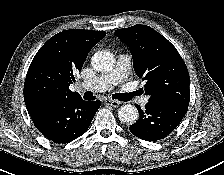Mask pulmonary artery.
<instances>
[{
    "mask_svg": "<svg viewBox=\"0 0 224 175\" xmlns=\"http://www.w3.org/2000/svg\"><path fill=\"white\" fill-rule=\"evenodd\" d=\"M131 68V57L127 54H120L117 58L114 69L104 75L97 76L90 80L83 81L80 87L93 92H103L121 83L129 74ZM147 98H143L141 103L146 104Z\"/></svg>",
    "mask_w": 224,
    "mask_h": 175,
    "instance_id": "e3ab8cb5",
    "label": "pulmonary artery"
}]
</instances>
